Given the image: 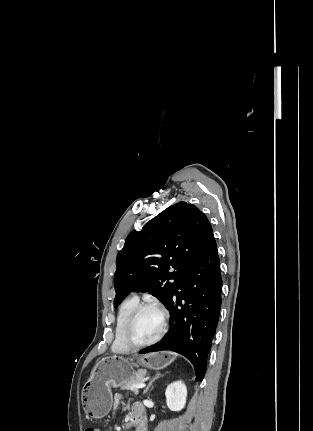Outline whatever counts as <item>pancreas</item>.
I'll return each instance as SVG.
<instances>
[{
    "label": "pancreas",
    "mask_w": 313,
    "mask_h": 431,
    "mask_svg": "<svg viewBox=\"0 0 313 431\" xmlns=\"http://www.w3.org/2000/svg\"><path fill=\"white\" fill-rule=\"evenodd\" d=\"M145 373L144 372H139L134 378H131L128 381H123L119 384L121 389H125V390H131L133 391L135 394L139 393V390L137 388H133L132 385L139 383V382H143V378H144Z\"/></svg>",
    "instance_id": "1"
}]
</instances>
